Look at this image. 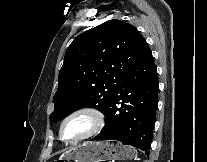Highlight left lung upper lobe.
<instances>
[{
	"instance_id": "5c2ea615",
	"label": "left lung upper lobe",
	"mask_w": 207,
	"mask_h": 162,
	"mask_svg": "<svg viewBox=\"0 0 207 162\" xmlns=\"http://www.w3.org/2000/svg\"><path fill=\"white\" fill-rule=\"evenodd\" d=\"M149 50L134 26L117 19L77 36L59 72L50 118L59 121L82 107L106 114L119 86Z\"/></svg>"
}]
</instances>
